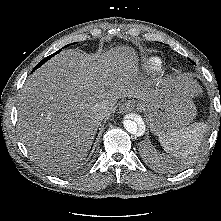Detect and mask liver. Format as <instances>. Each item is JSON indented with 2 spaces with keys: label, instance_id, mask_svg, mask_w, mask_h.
Segmentation results:
<instances>
[{
  "label": "liver",
  "instance_id": "liver-1",
  "mask_svg": "<svg viewBox=\"0 0 221 221\" xmlns=\"http://www.w3.org/2000/svg\"><path fill=\"white\" fill-rule=\"evenodd\" d=\"M137 65L135 51L119 46L94 59L65 50L37 70L18 107L20 135L32 156L67 166L81 163L117 100L146 98ZM183 90L187 96L198 91L189 85Z\"/></svg>",
  "mask_w": 221,
  "mask_h": 221
}]
</instances>
